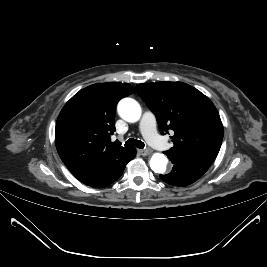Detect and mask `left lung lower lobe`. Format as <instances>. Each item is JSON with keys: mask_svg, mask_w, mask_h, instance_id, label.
Here are the masks:
<instances>
[{"mask_svg": "<svg viewBox=\"0 0 267 267\" xmlns=\"http://www.w3.org/2000/svg\"><path fill=\"white\" fill-rule=\"evenodd\" d=\"M173 163L172 171L167 175H160L167 184L184 187L198 180L209 168L208 165L190 160L171 151H165Z\"/></svg>", "mask_w": 267, "mask_h": 267, "instance_id": "obj_1", "label": "left lung lower lobe"}]
</instances>
